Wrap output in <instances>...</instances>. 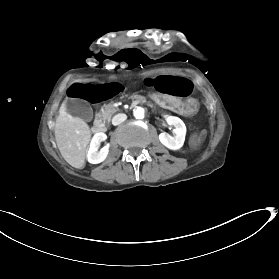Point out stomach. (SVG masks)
Masks as SVG:
<instances>
[{
    "label": "stomach",
    "instance_id": "stomach-1",
    "mask_svg": "<svg viewBox=\"0 0 279 279\" xmlns=\"http://www.w3.org/2000/svg\"><path fill=\"white\" fill-rule=\"evenodd\" d=\"M157 106H163L168 110H177L185 117H193L198 112V105L194 99L178 98L173 96L160 97V94H151Z\"/></svg>",
    "mask_w": 279,
    "mask_h": 279
}]
</instances>
